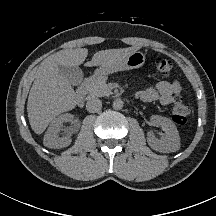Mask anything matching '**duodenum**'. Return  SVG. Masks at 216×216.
Here are the masks:
<instances>
[{
  "mask_svg": "<svg viewBox=\"0 0 216 216\" xmlns=\"http://www.w3.org/2000/svg\"><path fill=\"white\" fill-rule=\"evenodd\" d=\"M89 79H86L84 83L76 91V102L79 106H82L87 94V86Z\"/></svg>",
  "mask_w": 216,
  "mask_h": 216,
  "instance_id": "obj_1",
  "label": "duodenum"
}]
</instances>
